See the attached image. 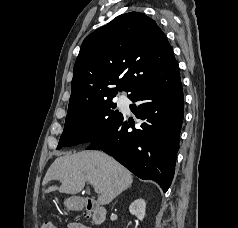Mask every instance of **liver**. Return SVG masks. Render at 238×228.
I'll return each mask as SVG.
<instances>
[{"label": "liver", "instance_id": "obj_1", "mask_svg": "<svg viewBox=\"0 0 238 228\" xmlns=\"http://www.w3.org/2000/svg\"><path fill=\"white\" fill-rule=\"evenodd\" d=\"M51 180L60 181L61 186H50L45 193L58 190L77 194L89 182L99 194L98 203L106 205L131 186L133 177L130 171L105 153L82 151L56 158L44 177L43 185Z\"/></svg>", "mask_w": 238, "mask_h": 228}]
</instances>
